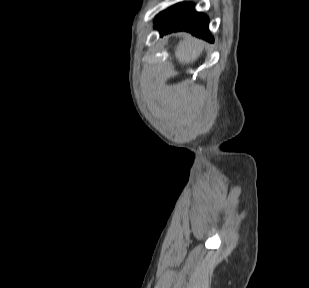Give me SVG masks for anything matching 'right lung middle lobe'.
Listing matches in <instances>:
<instances>
[{"label": "right lung middle lobe", "instance_id": "obj_1", "mask_svg": "<svg viewBox=\"0 0 309 288\" xmlns=\"http://www.w3.org/2000/svg\"><path fill=\"white\" fill-rule=\"evenodd\" d=\"M181 4L182 3L174 5V6L170 7V8H168L167 10L162 11L161 13H159L156 16V18H155V24H157L159 21H161L168 13H170L171 11L177 9Z\"/></svg>", "mask_w": 309, "mask_h": 288}]
</instances>
